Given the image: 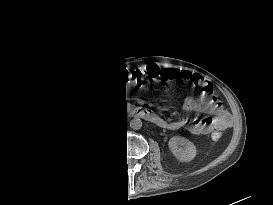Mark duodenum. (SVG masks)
<instances>
[{
  "label": "duodenum",
  "mask_w": 273,
  "mask_h": 205,
  "mask_svg": "<svg viewBox=\"0 0 273 205\" xmlns=\"http://www.w3.org/2000/svg\"><path fill=\"white\" fill-rule=\"evenodd\" d=\"M128 114H129V116H138V117L150 119V120L157 119L155 114L151 113L150 111H148L146 109H141V108H131L128 111Z\"/></svg>",
  "instance_id": "duodenum-1"
}]
</instances>
